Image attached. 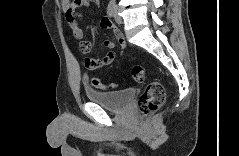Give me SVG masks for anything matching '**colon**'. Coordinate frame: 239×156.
Masks as SVG:
<instances>
[{
    "mask_svg": "<svg viewBox=\"0 0 239 156\" xmlns=\"http://www.w3.org/2000/svg\"><path fill=\"white\" fill-rule=\"evenodd\" d=\"M132 75L136 82L142 83L145 80V70L140 65L133 67ZM92 83L99 88H108L115 86L114 84H105L99 79H93ZM165 98L166 92L162 83H149L137 101L138 112L145 117L151 115L163 105Z\"/></svg>",
    "mask_w": 239,
    "mask_h": 156,
    "instance_id": "1",
    "label": "colon"
}]
</instances>
